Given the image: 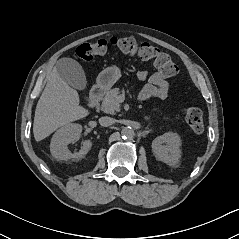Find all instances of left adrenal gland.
I'll return each instance as SVG.
<instances>
[{
    "instance_id": "a2214340",
    "label": "left adrenal gland",
    "mask_w": 239,
    "mask_h": 239,
    "mask_svg": "<svg viewBox=\"0 0 239 239\" xmlns=\"http://www.w3.org/2000/svg\"><path fill=\"white\" fill-rule=\"evenodd\" d=\"M145 120H150V117H145Z\"/></svg>"
}]
</instances>
